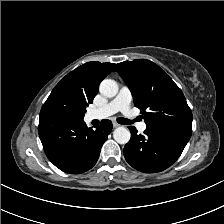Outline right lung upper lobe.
<instances>
[{
	"label": "right lung upper lobe",
	"mask_w": 224,
	"mask_h": 224,
	"mask_svg": "<svg viewBox=\"0 0 224 224\" xmlns=\"http://www.w3.org/2000/svg\"><path fill=\"white\" fill-rule=\"evenodd\" d=\"M115 64L88 62L68 73L56 87L71 92L87 105L96 96L100 82L111 73Z\"/></svg>",
	"instance_id": "right-lung-upper-lobe-1"
}]
</instances>
